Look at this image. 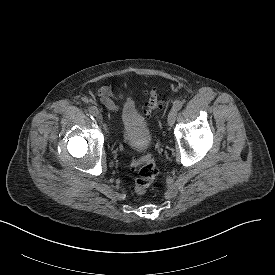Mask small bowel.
I'll list each match as a JSON object with an SVG mask.
<instances>
[{"label": "small bowel", "mask_w": 275, "mask_h": 275, "mask_svg": "<svg viewBox=\"0 0 275 275\" xmlns=\"http://www.w3.org/2000/svg\"><path fill=\"white\" fill-rule=\"evenodd\" d=\"M97 96L100 102L109 110H119V102L123 98L122 94L115 95L110 88L102 87L98 90Z\"/></svg>", "instance_id": "c3829d8e"}]
</instances>
